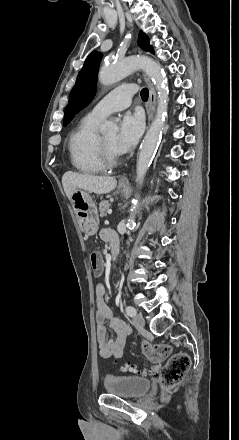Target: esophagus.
<instances>
[{"label":"esophagus","instance_id":"34e87169","mask_svg":"<svg viewBox=\"0 0 239 440\" xmlns=\"http://www.w3.org/2000/svg\"><path fill=\"white\" fill-rule=\"evenodd\" d=\"M143 78L149 88L150 111L148 112V122L150 123V120L153 118L156 109V91L154 85L151 83L149 78H147V76L144 73H143ZM119 183L128 184L129 180L125 175H123L122 177L119 178Z\"/></svg>","mask_w":239,"mask_h":440}]
</instances>
